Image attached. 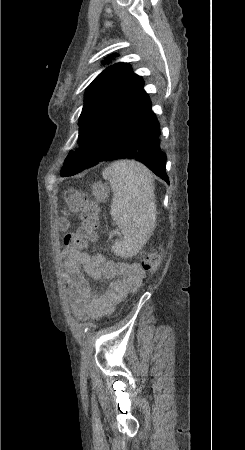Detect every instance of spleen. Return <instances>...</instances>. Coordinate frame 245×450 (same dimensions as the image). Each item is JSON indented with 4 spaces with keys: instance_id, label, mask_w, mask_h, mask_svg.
Instances as JSON below:
<instances>
[{
    "instance_id": "spleen-1",
    "label": "spleen",
    "mask_w": 245,
    "mask_h": 450,
    "mask_svg": "<svg viewBox=\"0 0 245 450\" xmlns=\"http://www.w3.org/2000/svg\"><path fill=\"white\" fill-rule=\"evenodd\" d=\"M103 178L113 192L110 214L123 238L112 246L122 258L132 257L151 236L156 223L153 177L136 161H117L106 168Z\"/></svg>"
}]
</instances>
